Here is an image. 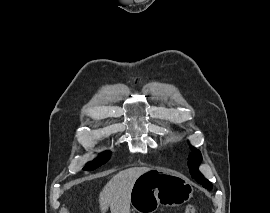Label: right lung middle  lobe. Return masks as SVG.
Returning a JSON list of instances; mask_svg holds the SVG:
<instances>
[{"label": "right lung middle lobe", "mask_w": 270, "mask_h": 213, "mask_svg": "<svg viewBox=\"0 0 270 213\" xmlns=\"http://www.w3.org/2000/svg\"><path fill=\"white\" fill-rule=\"evenodd\" d=\"M109 155H110L109 152L102 153L101 156L98 157L96 160L88 163L87 166L84 168V170L96 169L98 166H100L101 164L105 163L108 160Z\"/></svg>", "instance_id": "1"}]
</instances>
